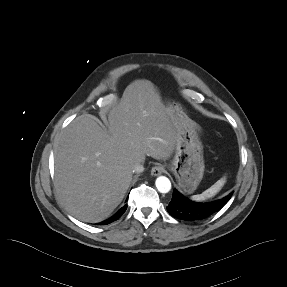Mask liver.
I'll use <instances>...</instances> for the list:
<instances>
[{"instance_id": "obj_1", "label": "liver", "mask_w": 287, "mask_h": 287, "mask_svg": "<svg viewBox=\"0 0 287 287\" xmlns=\"http://www.w3.org/2000/svg\"><path fill=\"white\" fill-rule=\"evenodd\" d=\"M108 121L107 129L90 114L78 116L54 150L56 191L66 209L85 222L106 219L121 203L135 163L146 156L166 160L176 148L177 128L148 80L126 87Z\"/></svg>"}]
</instances>
